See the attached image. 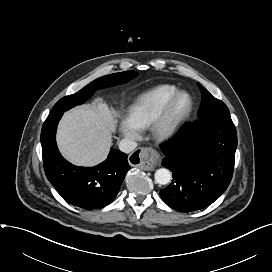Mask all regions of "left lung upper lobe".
<instances>
[{
  "mask_svg": "<svg viewBox=\"0 0 272 272\" xmlns=\"http://www.w3.org/2000/svg\"><path fill=\"white\" fill-rule=\"evenodd\" d=\"M198 87L202 94L201 106L198 111V119L209 116V115H213V114L229 112L228 107L222 101L213 97L200 84H198Z\"/></svg>",
  "mask_w": 272,
  "mask_h": 272,
  "instance_id": "5c2ea615",
  "label": "left lung upper lobe"
}]
</instances>
